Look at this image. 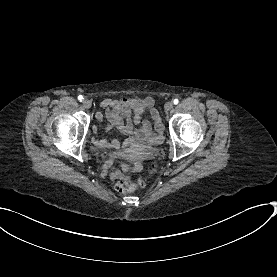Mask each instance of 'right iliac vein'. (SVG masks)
Masks as SVG:
<instances>
[{"label": "right iliac vein", "mask_w": 277, "mask_h": 277, "mask_svg": "<svg viewBox=\"0 0 277 277\" xmlns=\"http://www.w3.org/2000/svg\"><path fill=\"white\" fill-rule=\"evenodd\" d=\"M82 103H83V107L86 109H89L92 105L91 101L88 99L84 100Z\"/></svg>", "instance_id": "63e3f726"}]
</instances>
